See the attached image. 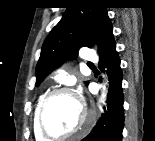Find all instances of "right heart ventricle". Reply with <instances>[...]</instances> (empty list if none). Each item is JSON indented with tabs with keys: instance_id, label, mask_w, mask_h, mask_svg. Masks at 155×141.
<instances>
[{
	"instance_id": "1",
	"label": "right heart ventricle",
	"mask_w": 155,
	"mask_h": 141,
	"mask_svg": "<svg viewBox=\"0 0 155 141\" xmlns=\"http://www.w3.org/2000/svg\"><path fill=\"white\" fill-rule=\"evenodd\" d=\"M42 97L39 98L35 110H34V114H33V130H34V135L37 141H44L45 138L41 135V133L39 132L38 129V125H37V111H38V107L40 104Z\"/></svg>"
}]
</instances>
